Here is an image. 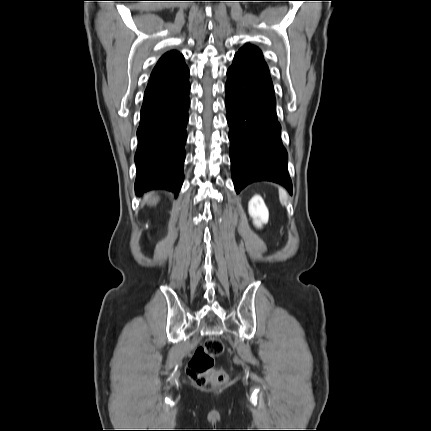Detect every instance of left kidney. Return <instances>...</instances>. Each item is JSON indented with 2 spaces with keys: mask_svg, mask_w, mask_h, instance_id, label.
Wrapping results in <instances>:
<instances>
[{
  "mask_svg": "<svg viewBox=\"0 0 431 431\" xmlns=\"http://www.w3.org/2000/svg\"><path fill=\"white\" fill-rule=\"evenodd\" d=\"M249 214L257 227H261L263 223H267L269 212L263 199L259 195H255L250 200Z\"/></svg>",
  "mask_w": 431,
  "mask_h": 431,
  "instance_id": "5707ae66",
  "label": "left kidney"
}]
</instances>
